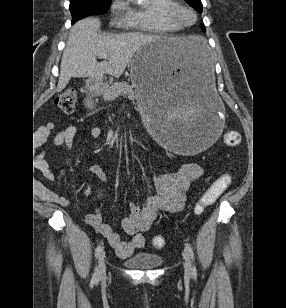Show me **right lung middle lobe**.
I'll list each match as a JSON object with an SVG mask.
<instances>
[{
    "label": "right lung middle lobe",
    "instance_id": "right-lung-middle-lobe-1",
    "mask_svg": "<svg viewBox=\"0 0 286 308\" xmlns=\"http://www.w3.org/2000/svg\"><path fill=\"white\" fill-rule=\"evenodd\" d=\"M112 0H71L72 23L90 15L106 13Z\"/></svg>",
    "mask_w": 286,
    "mask_h": 308
}]
</instances>
